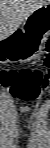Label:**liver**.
<instances>
[{
    "label": "liver",
    "mask_w": 50,
    "mask_h": 148,
    "mask_svg": "<svg viewBox=\"0 0 50 148\" xmlns=\"http://www.w3.org/2000/svg\"><path fill=\"white\" fill-rule=\"evenodd\" d=\"M48 4V0H1L0 39L8 38L37 9Z\"/></svg>",
    "instance_id": "6515ba94"
}]
</instances>
